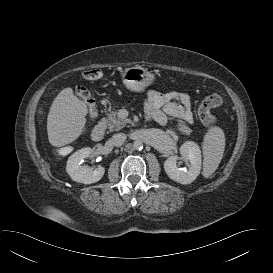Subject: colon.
Returning <instances> with one entry per match:
<instances>
[{
    "mask_svg": "<svg viewBox=\"0 0 273 273\" xmlns=\"http://www.w3.org/2000/svg\"><path fill=\"white\" fill-rule=\"evenodd\" d=\"M83 77L89 81H97L102 78V72L97 68H89L83 72ZM75 93L88 104L90 115L94 118L97 114V108L89 89L85 86H76ZM221 104L222 98L217 94L205 97L197 108V114L201 122L207 126L215 124L216 119L211 114V109L218 107Z\"/></svg>",
    "mask_w": 273,
    "mask_h": 273,
    "instance_id": "5ec220e1",
    "label": "colon"
}]
</instances>
